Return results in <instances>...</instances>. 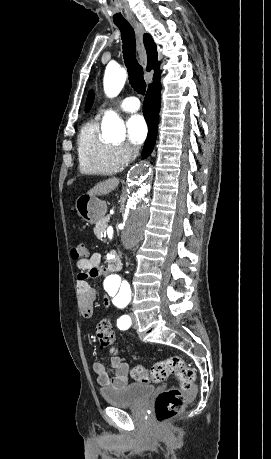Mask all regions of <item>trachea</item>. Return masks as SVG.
Here are the masks:
<instances>
[{
    "instance_id": "1",
    "label": "trachea",
    "mask_w": 271,
    "mask_h": 459,
    "mask_svg": "<svg viewBox=\"0 0 271 459\" xmlns=\"http://www.w3.org/2000/svg\"><path fill=\"white\" fill-rule=\"evenodd\" d=\"M117 27L121 32L123 57L128 71L129 83L136 92L144 95L146 82L143 77V67L138 63L136 58L134 29L130 24L117 25Z\"/></svg>"
}]
</instances>
